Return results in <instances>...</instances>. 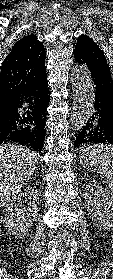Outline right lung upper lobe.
<instances>
[{"label":"right lung upper lobe","instance_id":"1","mask_svg":"<svg viewBox=\"0 0 113 279\" xmlns=\"http://www.w3.org/2000/svg\"><path fill=\"white\" fill-rule=\"evenodd\" d=\"M45 58V48L33 34L14 44L1 67L0 110L11 108L46 73Z\"/></svg>","mask_w":113,"mask_h":279}]
</instances>
